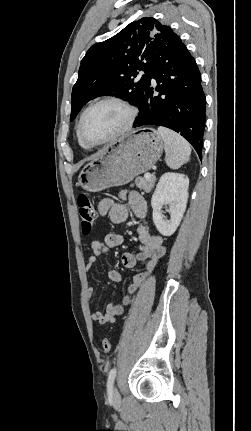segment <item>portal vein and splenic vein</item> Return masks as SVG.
<instances>
[{
	"label": "portal vein and splenic vein",
	"instance_id": "18ae733b",
	"mask_svg": "<svg viewBox=\"0 0 251 431\" xmlns=\"http://www.w3.org/2000/svg\"><path fill=\"white\" fill-rule=\"evenodd\" d=\"M144 178H146V179H151V178H152V175H151L150 173H146V174L144 175Z\"/></svg>",
	"mask_w": 251,
	"mask_h": 431
}]
</instances>
